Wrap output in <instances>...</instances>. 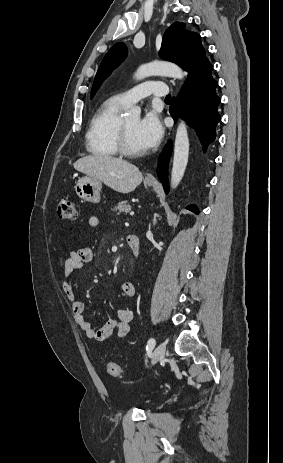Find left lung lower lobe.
I'll return each instance as SVG.
<instances>
[{"instance_id": "0a47b994", "label": "left lung lower lobe", "mask_w": 283, "mask_h": 463, "mask_svg": "<svg viewBox=\"0 0 283 463\" xmlns=\"http://www.w3.org/2000/svg\"><path fill=\"white\" fill-rule=\"evenodd\" d=\"M212 65L204 60L190 69L187 81L178 98H173L169 108L172 118L176 121L181 116L191 127L195 128L202 144L203 151L215 139V127L221 117L217 108L221 99L216 94L218 82L211 75ZM171 145L168 144L160 158L158 176L166 193L169 191L167 183V163ZM198 214L195 205L186 207Z\"/></svg>"}]
</instances>
